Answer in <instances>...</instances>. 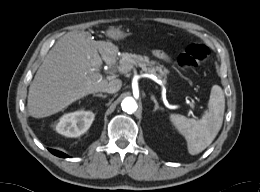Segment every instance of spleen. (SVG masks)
I'll return each instance as SVG.
<instances>
[{"instance_id": "1", "label": "spleen", "mask_w": 260, "mask_h": 192, "mask_svg": "<svg viewBox=\"0 0 260 192\" xmlns=\"http://www.w3.org/2000/svg\"><path fill=\"white\" fill-rule=\"evenodd\" d=\"M224 110L223 90L214 85L211 88L208 111L200 120L188 119L180 114L169 116L174 127L185 137L189 154H199L213 142L222 127Z\"/></svg>"}]
</instances>
